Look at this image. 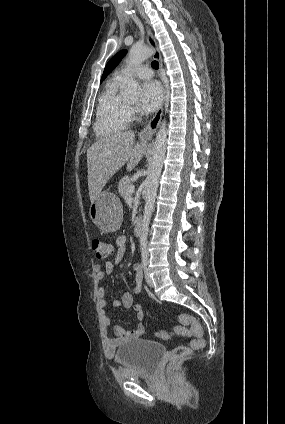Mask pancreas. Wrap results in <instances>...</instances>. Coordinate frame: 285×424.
I'll return each instance as SVG.
<instances>
[{"instance_id":"cf45deb5","label":"pancreas","mask_w":285,"mask_h":424,"mask_svg":"<svg viewBox=\"0 0 285 424\" xmlns=\"http://www.w3.org/2000/svg\"><path fill=\"white\" fill-rule=\"evenodd\" d=\"M131 185V179L127 175L120 180L118 184V191L121 197H123L124 199H127L130 196L131 193L129 192V187Z\"/></svg>"}]
</instances>
